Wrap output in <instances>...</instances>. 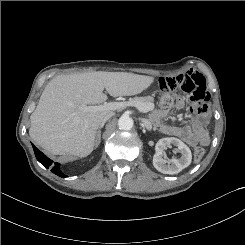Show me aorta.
<instances>
[{"mask_svg":"<svg viewBox=\"0 0 245 245\" xmlns=\"http://www.w3.org/2000/svg\"><path fill=\"white\" fill-rule=\"evenodd\" d=\"M118 127L122 130H131L133 127V120L129 116H121L118 120Z\"/></svg>","mask_w":245,"mask_h":245,"instance_id":"aorta-1","label":"aorta"}]
</instances>
